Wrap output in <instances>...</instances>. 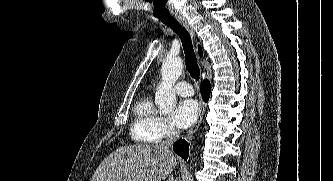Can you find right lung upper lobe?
I'll return each mask as SVG.
<instances>
[{
  "instance_id": "right-lung-upper-lobe-1",
  "label": "right lung upper lobe",
  "mask_w": 333,
  "mask_h": 181,
  "mask_svg": "<svg viewBox=\"0 0 333 181\" xmlns=\"http://www.w3.org/2000/svg\"><path fill=\"white\" fill-rule=\"evenodd\" d=\"M198 51H199V54L202 56V50H201V47L199 46L198 48Z\"/></svg>"
}]
</instances>
